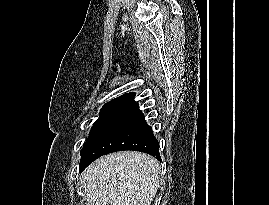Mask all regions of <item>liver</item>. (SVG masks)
I'll list each match as a JSON object with an SVG mask.
<instances>
[{"instance_id": "6515ba94", "label": "liver", "mask_w": 269, "mask_h": 205, "mask_svg": "<svg viewBox=\"0 0 269 205\" xmlns=\"http://www.w3.org/2000/svg\"><path fill=\"white\" fill-rule=\"evenodd\" d=\"M158 161L141 152L102 156L84 171L86 205H150L159 188Z\"/></svg>"}]
</instances>
